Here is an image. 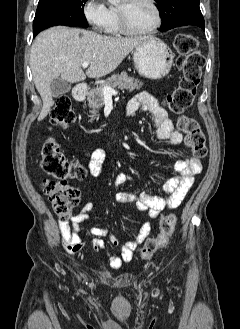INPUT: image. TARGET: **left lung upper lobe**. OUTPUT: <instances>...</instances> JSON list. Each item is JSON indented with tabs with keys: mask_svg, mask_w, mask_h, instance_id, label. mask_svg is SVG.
Instances as JSON below:
<instances>
[{
	"mask_svg": "<svg viewBox=\"0 0 240 329\" xmlns=\"http://www.w3.org/2000/svg\"><path fill=\"white\" fill-rule=\"evenodd\" d=\"M162 18L160 31H167L177 26H204L200 11V0H155Z\"/></svg>",
	"mask_w": 240,
	"mask_h": 329,
	"instance_id": "1",
	"label": "left lung upper lobe"
}]
</instances>
